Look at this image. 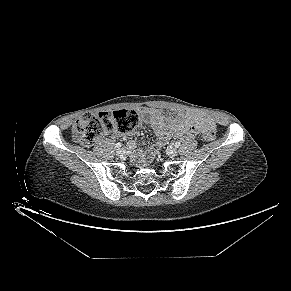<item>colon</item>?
Returning <instances> with one entry per match:
<instances>
[{
  "instance_id": "5ec220e1",
  "label": "colon",
  "mask_w": 291,
  "mask_h": 291,
  "mask_svg": "<svg viewBox=\"0 0 291 291\" xmlns=\"http://www.w3.org/2000/svg\"><path fill=\"white\" fill-rule=\"evenodd\" d=\"M139 124L136 111L120 109L110 112L88 113L76 120L73 126L74 138L83 146H92L103 135L118 131L128 133ZM216 137V130L210 127L203 132V138L212 141Z\"/></svg>"
}]
</instances>
